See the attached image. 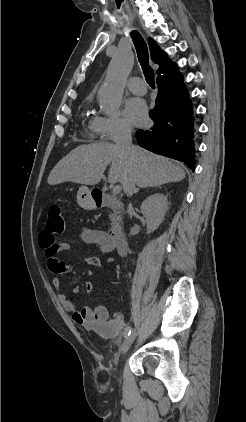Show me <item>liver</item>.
<instances>
[{"label":"liver","mask_w":246,"mask_h":422,"mask_svg":"<svg viewBox=\"0 0 246 422\" xmlns=\"http://www.w3.org/2000/svg\"><path fill=\"white\" fill-rule=\"evenodd\" d=\"M134 155L129 157L112 143L81 145L72 150L53 168L49 185L74 182L96 185L110 166L108 182L127 184L129 174L135 173V184L139 188L157 187L169 182H179L185 178L183 166L169 159L157 156L138 146H132Z\"/></svg>","instance_id":"liver-1"}]
</instances>
